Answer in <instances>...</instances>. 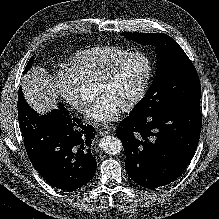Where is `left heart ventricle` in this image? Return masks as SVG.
Masks as SVG:
<instances>
[{
    "label": "left heart ventricle",
    "instance_id": "left-heart-ventricle-1",
    "mask_svg": "<svg viewBox=\"0 0 219 219\" xmlns=\"http://www.w3.org/2000/svg\"><path fill=\"white\" fill-rule=\"evenodd\" d=\"M145 73V60L140 56L131 57L121 65L109 81L96 83V94L108 97L121 108L135 96Z\"/></svg>",
    "mask_w": 219,
    "mask_h": 219
}]
</instances>
